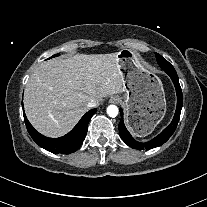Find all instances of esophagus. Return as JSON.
Returning <instances> with one entry per match:
<instances>
[{
	"instance_id": "obj_1",
	"label": "esophagus",
	"mask_w": 207,
	"mask_h": 207,
	"mask_svg": "<svg viewBox=\"0 0 207 207\" xmlns=\"http://www.w3.org/2000/svg\"><path fill=\"white\" fill-rule=\"evenodd\" d=\"M110 102H111V103H117V102H118V98H116V97H112V98L110 99Z\"/></svg>"
}]
</instances>
